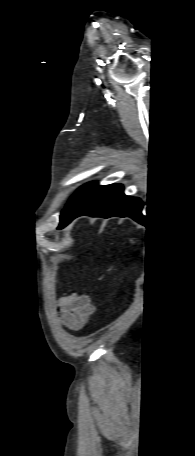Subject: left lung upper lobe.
<instances>
[{
	"instance_id": "5c2ea615",
	"label": "left lung upper lobe",
	"mask_w": 195,
	"mask_h": 456,
	"mask_svg": "<svg viewBox=\"0 0 195 456\" xmlns=\"http://www.w3.org/2000/svg\"><path fill=\"white\" fill-rule=\"evenodd\" d=\"M102 188L103 186L97 185L96 182L87 183L81 186L71 197L65 209L61 212L60 225L58 228H63L65 221L90 201Z\"/></svg>"
}]
</instances>
